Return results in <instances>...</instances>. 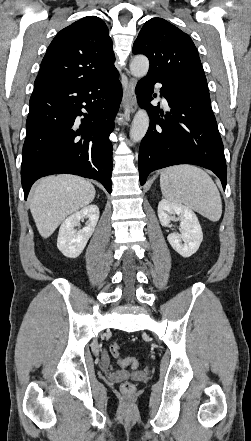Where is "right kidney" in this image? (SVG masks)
Returning a JSON list of instances; mask_svg holds the SVG:
<instances>
[{"label":"right kidney","mask_w":251,"mask_h":441,"mask_svg":"<svg viewBox=\"0 0 251 441\" xmlns=\"http://www.w3.org/2000/svg\"><path fill=\"white\" fill-rule=\"evenodd\" d=\"M84 218L89 219L86 226L76 231L74 227ZM98 219L99 208L93 204L75 212L62 223L59 229L57 247L64 256L76 258L82 253L95 230Z\"/></svg>","instance_id":"obj_1"}]
</instances>
